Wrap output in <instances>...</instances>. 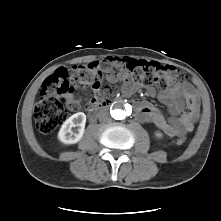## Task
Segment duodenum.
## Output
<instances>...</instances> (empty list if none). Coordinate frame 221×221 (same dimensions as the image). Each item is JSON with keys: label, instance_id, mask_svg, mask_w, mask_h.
<instances>
[{"label": "duodenum", "instance_id": "obj_1", "mask_svg": "<svg viewBox=\"0 0 221 221\" xmlns=\"http://www.w3.org/2000/svg\"><path fill=\"white\" fill-rule=\"evenodd\" d=\"M110 105H111L110 100L98 101L93 107L90 108L89 118L92 120L95 119L100 114V112L109 108Z\"/></svg>", "mask_w": 221, "mask_h": 221}]
</instances>
